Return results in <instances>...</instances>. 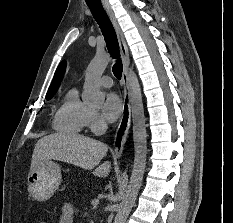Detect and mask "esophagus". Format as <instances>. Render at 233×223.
I'll return each instance as SVG.
<instances>
[{
	"instance_id": "34e87169",
	"label": "esophagus",
	"mask_w": 233,
	"mask_h": 223,
	"mask_svg": "<svg viewBox=\"0 0 233 223\" xmlns=\"http://www.w3.org/2000/svg\"><path fill=\"white\" fill-rule=\"evenodd\" d=\"M102 5L115 29L120 47V53L123 60V71H122V81L124 86L123 112L114 137L115 157L120 158L131 125V91H130V84L128 79L130 58H129L128 47L126 45V40L124 38L121 28L119 27V24L117 23L112 8L110 7L108 1L105 0H102Z\"/></svg>"
}]
</instances>
